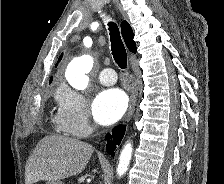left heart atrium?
I'll return each mask as SVG.
<instances>
[{
  "label": "left heart atrium",
  "mask_w": 224,
  "mask_h": 184,
  "mask_svg": "<svg viewBox=\"0 0 224 184\" xmlns=\"http://www.w3.org/2000/svg\"><path fill=\"white\" fill-rule=\"evenodd\" d=\"M127 107V97L119 89H107L98 94L93 103V116L102 125L119 120Z\"/></svg>",
  "instance_id": "obj_1"
}]
</instances>
